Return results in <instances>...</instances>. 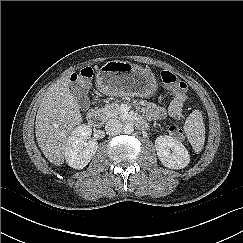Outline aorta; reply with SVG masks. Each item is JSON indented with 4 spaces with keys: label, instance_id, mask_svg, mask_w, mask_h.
I'll return each instance as SVG.
<instances>
[{
    "label": "aorta",
    "instance_id": "aorta-1",
    "mask_svg": "<svg viewBox=\"0 0 243 243\" xmlns=\"http://www.w3.org/2000/svg\"><path fill=\"white\" fill-rule=\"evenodd\" d=\"M133 131H134V125L132 123L129 122L123 126V132L125 134H131Z\"/></svg>",
    "mask_w": 243,
    "mask_h": 243
}]
</instances>
